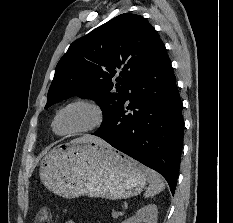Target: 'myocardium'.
<instances>
[{
  "label": "myocardium",
  "instance_id": "1",
  "mask_svg": "<svg viewBox=\"0 0 233 223\" xmlns=\"http://www.w3.org/2000/svg\"><path fill=\"white\" fill-rule=\"evenodd\" d=\"M86 105L91 107L97 114V123L88 129L82 130V131H77V132H72V133H59L56 129V123L58 120L59 115L68 107L73 106V105ZM107 120V114L106 111L104 109V107L102 106V104L100 102H98L95 99H88V98H78L75 100H72L68 103H66L65 105H63L55 114L53 121H52V130L53 132L58 135V136H65V137H71V136H83V135H88V134H92L95 133L97 131H99L100 129L103 128V126L105 125Z\"/></svg>",
  "mask_w": 233,
  "mask_h": 223
}]
</instances>
